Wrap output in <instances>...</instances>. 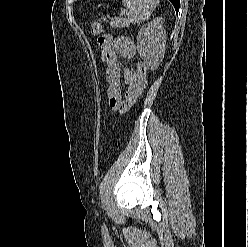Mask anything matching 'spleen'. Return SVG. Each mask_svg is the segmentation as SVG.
<instances>
[{
  "instance_id": "spleen-1",
  "label": "spleen",
  "mask_w": 248,
  "mask_h": 247,
  "mask_svg": "<svg viewBox=\"0 0 248 247\" xmlns=\"http://www.w3.org/2000/svg\"><path fill=\"white\" fill-rule=\"evenodd\" d=\"M159 1L160 0H122L123 5L129 9L127 13L128 22L139 24L148 20Z\"/></svg>"
}]
</instances>
